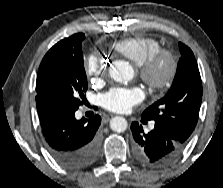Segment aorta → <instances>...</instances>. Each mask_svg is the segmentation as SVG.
Returning <instances> with one entry per match:
<instances>
[{"label": "aorta", "mask_w": 223, "mask_h": 188, "mask_svg": "<svg viewBox=\"0 0 223 188\" xmlns=\"http://www.w3.org/2000/svg\"><path fill=\"white\" fill-rule=\"evenodd\" d=\"M110 76L117 82H127L133 77L132 66L122 60L114 61L109 68ZM128 123L124 117L116 116L110 121V128L115 132H124Z\"/></svg>", "instance_id": "762f6f07"}]
</instances>
